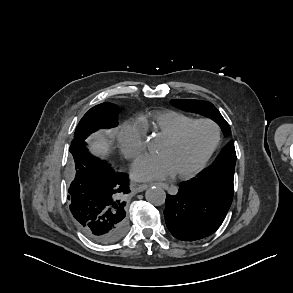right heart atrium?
I'll return each mask as SVG.
<instances>
[{"instance_id": "d8ad5b80", "label": "right heart atrium", "mask_w": 293, "mask_h": 293, "mask_svg": "<svg viewBox=\"0 0 293 293\" xmlns=\"http://www.w3.org/2000/svg\"><path fill=\"white\" fill-rule=\"evenodd\" d=\"M117 146L127 159H135L146 148L145 129L138 123L123 124L116 136Z\"/></svg>"}]
</instances>
